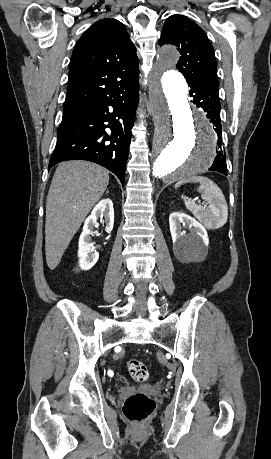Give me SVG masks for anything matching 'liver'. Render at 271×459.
Instances as JSON below:
<instances>
[{
    "label": "liver",
    "mask_w": 271,
    "mask_h": 459,
    "mask_svg": "<svg viewBox=\"0 0 271 459\" xmlns=\"http://www.w3.org/2000/svg\"><path fill=\"white\" fill-rule=\"evenodd\" d=\"M109 172L92 162L72 160L59 164L46 204L45 253L49 269H55L74 233L91 208L103 196Z\"/></svg>",
    "instance_id": "liver-1"
}]
</instances>
